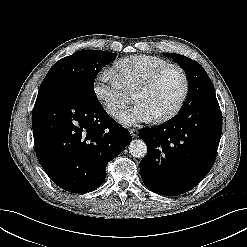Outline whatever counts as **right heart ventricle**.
I'll use <instances>...</instances> for the list:
<instances>
[{
    "instance_id": "1",
    "label": "right heart ventricle",
    "mask_w": 247,
    "mask_h": 247,
    "mask_svg": "<svg viewBox=\"0 0 247 247\" xmlns=\"http://www.w3.org/2000/svg\"><path fill=\"white\" fill-rule=\"evenodd\" d=\"M167 64L168 61L157 56L134 55L118 60L111 71L124 90L132 93L148 74Z\"/></svg>"
}]
</instances>
